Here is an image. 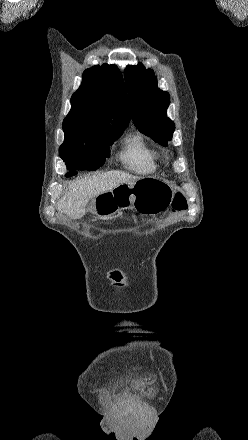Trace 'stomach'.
Wrapping results in <instances>:
<instances>
[{
    "label": "stomach",
    "mask_w": 248,
    "mask_h": 440,
    "mask_svg": "<svg viewBox=\"0 0 248 440\" xmlns=\"http://www.w3.org/2000/svg\"><path fill=\"white\" fill-rule=\"evenodd\" d=\"M174 196L171 187L154 178H141L134 184H121L100 194L91 202L92 218H107L117 211L134 207L141 213L155 214L166 209Z\"/></svg>",
    "instance_id": "obj_1"
}]
</instances>
